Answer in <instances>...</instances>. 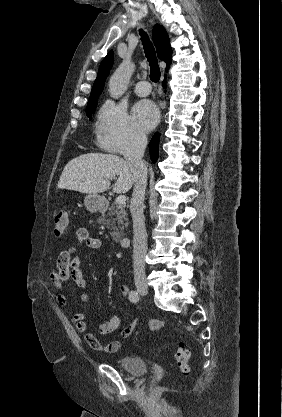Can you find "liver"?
<instances>
[{
    "label": "liver",
    "mask_w": 282,
    "mask_h": 417,
    "mask_svg": "<svg viewBox=\"0 0 282 417\" xmlns=\"http://www.w3.org/2000/svg\"><path fill=\"white\" fill-rule=\"evenodd\" d=\"M117 174L119 176L114 184V192H127L135 180L127 160L117 154L87 152L67 162L59 178L58 188L97 194L107 190L110 180Z\"/></svg>",
    "instance_id": "liver-1"
}]
</instances>
